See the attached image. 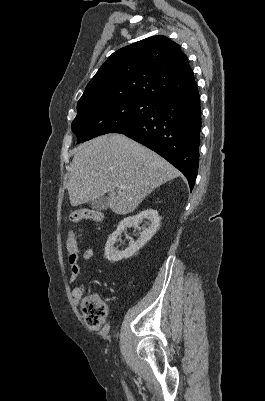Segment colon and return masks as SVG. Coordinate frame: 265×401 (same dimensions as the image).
Here are the masks:
<instances>
[{"mask_svg": "<svg viewBox=\"0 0 265 401\" xmlns=\"http://www.w3.org/2000/svg\"><path fill=\"white\" fill-rule=\"evenodd\" d=\"M102 217L101 212L86 208L74 210L69 216L72 223H79L83 220L97 223L102 220ZM77 249L78 246L74 235L69 234L67 238L68 254H75ZM81 310L84 320L91 326L102 325L109 311L107 303L98 294L87 295L81 302Z\"/></svg>", "mask_w": 265, "mask_h": 401, "instance_id": "colon-1", "label": "colon"}]
</instances>
